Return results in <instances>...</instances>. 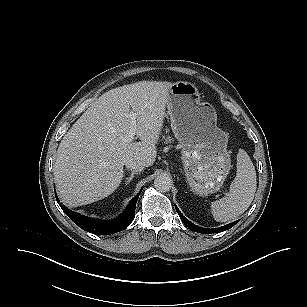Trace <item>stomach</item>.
<instances>
[{
    "label": "stomach",
    "mask_w": 307,
    "mask_h": 307,
    "mask_svg": "<svg viewBox=\"0 0 307 307\" xmlns=\"http://www.w3.org/2000/svg\"><path fill=\"white\" fill-rule=\"evenodd\" d=\"M166 106L189 186L199 195L219 191L231 168V158L228 135L218 128L215 109L202 102L194 84L185 81L172 84Z\"/></svg>",
    "instance_id": "stomach-1"
}]
</instances>
